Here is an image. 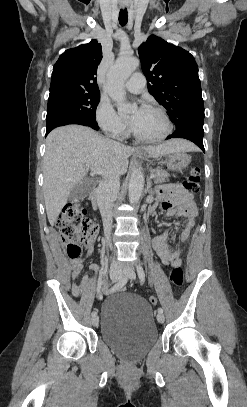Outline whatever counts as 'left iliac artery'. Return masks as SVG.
<instances>
[{
    "label": "left iliac artery",
    "instance_id": "44dca946",
    "mask_svg": "<svg viewBox=\"0 0 247 407\" xmlns=\"http://www.w3.org/2000/svg\"><path fill=\"white\" fill-rule=\"evenodd\" d=\"M136 269H137V274H138V277H139V279H140V282L143 284L144 281H145V272H144V270H143V268H142L141 265H137V266H136ZM158 313H163V309H162V308H158Z\"/></svg>",
    "mask_w": 247,
    "mask_h": 407
}]
</instances>
